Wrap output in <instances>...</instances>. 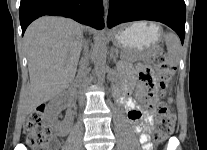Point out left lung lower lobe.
I'll return each mask as SVG.
<instances>
[{
    "label": "left lung lower lobe",
    "mask_w": 207,
    "mask_h": 150,
    "mask_svg": "<svg viewBox=\"0 0 207 150\" xmlns=\"http://www.w3.org/2000/svg\"><path fill=\"white\" fill-rule=\"evenodd\" d=\"M152 20L172 28L184 42L186 7L184 0H110L107 25Z\"/></svg>",
    "instance_id": "1"
}]
</instances>
